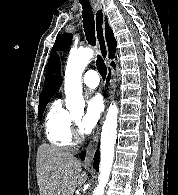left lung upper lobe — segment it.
Here are the masks:
<instances>
[{
	"instance_id": "obj_1",
	"label": "left lung upper lobe",
	"mask_w": 178,
	"mask_h": 195,
	"mask_svg": "<svg viewBox=\"0 0 178 195\" xmlns=\"http://www.w3.org/2000/svg\"><path fill=\"white\" fill-rule=\"evenodd\" d=\"M72 34L63 33L57 36L54 47L52 50H66L72 43Z\"/></svg>"
}]
</instances>
